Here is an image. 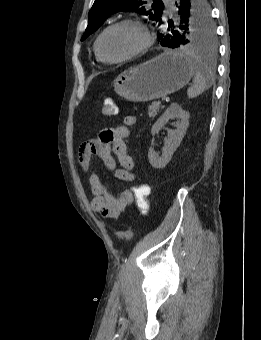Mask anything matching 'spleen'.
Masks as SVG:
<instances>
[{
    "instance_id": "obj_1",
    "label": "spleen",
    "mask_w": 261,
    "mask_h": 340,
    "mask_svg": "<svg viewBox=\"0 0 261 340\" xmlns=\"http://www.w3.org/2000/svg\"><path fill=\"white\" fill-rule=\"evenodd\" d=\"M193 67L194 85L187 91L189 98L197 97L214 83L212 73L204 65L195 61Z\"/></svg>"
}]
</instances>
